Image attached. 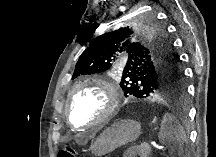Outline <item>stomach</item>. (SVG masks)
<instances>
[{
  "mask_svg": "<svg viewBox=\"0 0 216 157\" xmlns=\"http://www.w3.org/2000/svg\"><path fill=\"white\" fill-rule=\"evenodd\" d=\"M141 134L140 123L134 120H121L102 131L92 145V153L106 155L117 148L136 140Z\"/></svg>",
  "mask_w": 216,
  "mask_h": 157,
  "instance_id": "0dacf381",
  "label": "stomach"
}]
</instances>
